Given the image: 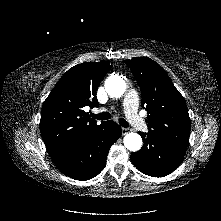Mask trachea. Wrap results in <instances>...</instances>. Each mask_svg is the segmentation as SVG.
Returning a JSON list of instances; mask_svg holds the SVG:
<instances>
[{
    "mask_svg": "<svg viewBox=\"0 0 221 221\" xmlns=\"http://www.w3.org/2000/svg\"><path fill=\"white\" fill-rule=\"evenodd\" d=\"M91 116L95 119H98V120H107V119H110V117H111L110 113H108V112H103V113H99V114H91ZM119 124L124 128L129 127V124L123 118L119 119Z\"/></svg>",
    "mask_w": 221,
    "mask_h": 221,
    "instance_id": "obj_1",
    "label": "trachea"
}]
</instances>
